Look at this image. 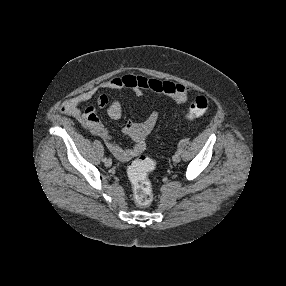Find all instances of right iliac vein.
Instances as JSON below:
<instances>
[{
	"label": "right iliac vein",
	"instance_id": "63e3f726",
	"mask_svg": "<svg viewBox=\"0 0 286 286\" xmlns=\"http://www.w3.org/2000/svg\"><path fill=\"white\" fill-rule=\"evenodd\" d=\"M111 165H112V160H111V159H107V160L105 161V166H106V167H111Z\"/></svg>",
	"mask_w": 286,
	"mask_h": 286
}]
</instances>
